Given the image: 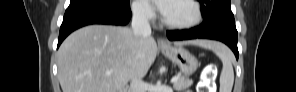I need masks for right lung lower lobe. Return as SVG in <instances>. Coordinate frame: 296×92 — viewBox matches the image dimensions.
Returning <instances> with one entry per match:
<instances>
[{
  "label": "right lung lower lobe",
  "instance_id": "98d812e1",
  "mask_svg": "<svg viewBox=\"0 0 296 92\" xmlns=\"http://www.w3.org/2000/svg\"><path fill=\"white\" fill-rule=\"evenodd\" d=\"M129 2L115 5L104 0H71L58 39V46L74 30L90 24L125 25L129 22Z\"/></svg>",
  "mask_w": 296,
  "mask_h": 92
}]
</instances>
